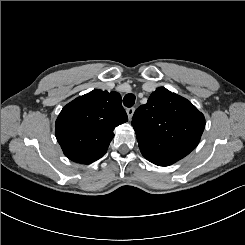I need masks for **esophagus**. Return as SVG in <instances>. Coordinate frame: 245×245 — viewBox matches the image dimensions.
Wrapping results in <instances>:
<instances>
[{"instance_id":"34e87169","label":"esophagus","mask_w":245,"mask_h":245,"mask_svg":"<svg viewBox=\"0 0 245 245\" xmlns=\"http://www.w3.org/2000/svg\"><path fill=\"white\" fill-rule=\"evenodd\" d=\"M134 111H135L134 107L127 108L126 112H127L129 120L132 118Z\"/></svg>"}]
</instances>
